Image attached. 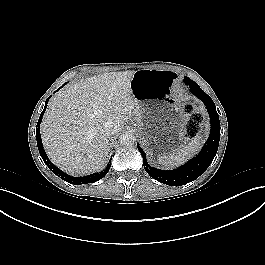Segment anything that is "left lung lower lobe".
<instances>
[{"label":"left lung lower lobe","instance_id":"left-lung-lower-lobe-1","mask_svg":"<svg viewBox=\"0 0 265 265\" xmlns=\"http://www.w3.org/2000/svg\"><path fill=\"white\" fill-rule=\"evenodd\" d=\"M184 82L190 86L191 92L197 96L206 106V109L210 116L211 130L208 140L201 152L185 165L174 170H160L151 167L146 160V155L141 149L139 144L137 145L139 152L143 157V165L146 172L155 180L170 186L185 185L195 179H197L212 163L219 146L220 140V122L219 115L216 111V107L212 99L199 87L197 83L189 79L184 78Z\"/></svg>","mask_w":265,"mask_h":265}]
</instances>
